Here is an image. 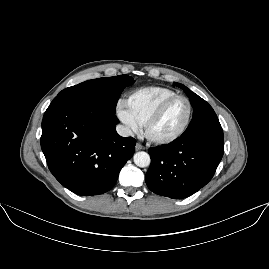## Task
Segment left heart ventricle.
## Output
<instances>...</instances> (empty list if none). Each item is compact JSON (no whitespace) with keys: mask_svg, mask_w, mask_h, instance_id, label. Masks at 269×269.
<instances>
[{"mask_svg":"<svg viewBox=\"0 0 269 269\" xmlns=\"http://www.w3.org/2000/svg\"><path fill=\"white\" fill-rule=\"evenodd\" d=\"M187 110V103L182 99L172 103L152 125L150 129L151 136L156 139H163L176 134L186 120Z\"/></svg>","mask_w":269,"mask_h":269,"instance_id":"b2bd125f","label":"left heart ventricle"}]
</instances>
